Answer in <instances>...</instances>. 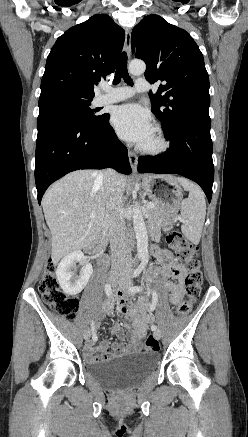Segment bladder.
Segmentation results:
<instances>
[{"mask_svg": "<svg viewBox=\"0 0 248 437\" xmlns=\"http://www.w3.org/2000/svg\"><path fill=\"white\" fill-rule=\"evenodd\" d=\"M153 352L129 353L88 365L87 374L110 388H126L136 385L157 364Z\"/></svg>", "mask_w": 248, "mask_h": 437, "instance_id": "bladder-1", "label": "bladder"}]
</instances>
